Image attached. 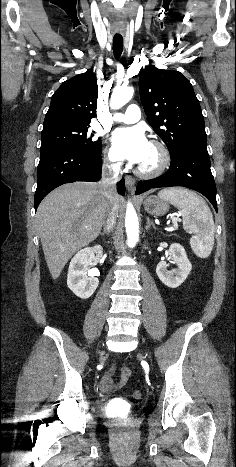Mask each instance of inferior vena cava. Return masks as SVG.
Returning <instances> with one entry per match:
<instances>
[{
	"label": "inferior vena cava",
	"instance_id": "inferior-vena-cava-1",
	"mask_svg": "<svg viewBox=\"0 0 236 467\" xmlns=\"http://www.w3.org/2000/svg\"><path fill=\"white\" fill-rule=\"evenodd\" d=\"M119 168L114 164H105L102 170V182L101 185L105 191V195L108 199L112 200L115 195V184L120 180ZM117 208L113 204H110L107 208L106 218L104 221V231L109 233L113 230L116 224Z\"/></svg>",
	"mask_w": 236,
	"mask_h": 467
}]
</instances>
